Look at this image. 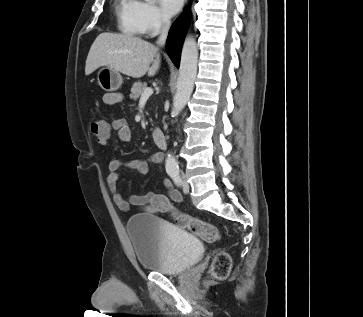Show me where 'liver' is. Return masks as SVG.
Instances as JSON below:
<instances>
[{
  "mask_svg": "<svg viewBox=\"0 0 363 317\" xmlns=\"http://www.w3.org/2000/svg\"><path fill=\"white\" fill-rule=\"evenodd\" d=\"M101 66L133 78H140L146 73L154 76L160 67L159 49L139 37L101 33L88 53L85 74L90 75Z\"/></svg>",
  "mask_w": 363,
  "mask_h": 317,
  "instance_id": "1",
  "label": "liver"
}]
</instances>
